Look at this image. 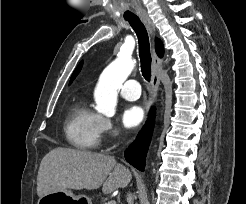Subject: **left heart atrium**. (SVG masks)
<instances>
[{
	"label": "left heart atrium",
	"mask_w": 246,
	"mask_h": 204,
	"mask_svg": "<svg viewBox=\"0 0 246 204\" xmlns=\"http://www.w3.org/2000/svg\"><path fill=\"white\" fill-rule=\"evenodd\" d=\"M144 109L139 105H128L121 114V122L125 128H135L144 119Z\"/></svg>",
	"instance_id": "39dd6f15"
}]
</instances>
